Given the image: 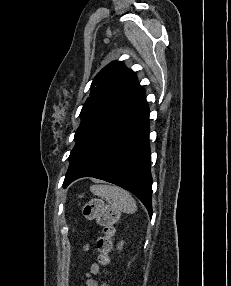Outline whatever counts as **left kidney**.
<instances>
[{
    "label": "left kidney",
    "instance_id": "1",
    "mask_svg": "<svg viewBox=\"0 0 231 286\" xmlns=\"http://www.w3.org/2000/svg\"><path fill=\"white\" fill-rule=\"evenodd\" d=\"M123 245H124V241L119 242L118 245H117V249L118 250H122Z\"/></svg>",
    "mask_w": 231,
    "mask_h": 286
}]
</instances>
